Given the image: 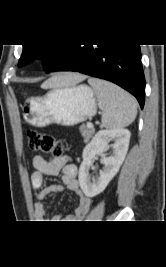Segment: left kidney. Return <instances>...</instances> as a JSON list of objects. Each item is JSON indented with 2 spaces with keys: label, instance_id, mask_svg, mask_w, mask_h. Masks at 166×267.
Returning <instances> with one entry per match:
<instances>
[{
  "label": "left kidney",
  "instance_id": "1",
  "mask_svg": "<svg viewBox=\"0 0 166 267\" xmlns=\"http://www.w3.org/2000/svg\"><path fill=\"white\" fill-rule=\"evenodd\" d=\"M130 131L123 128L100 130L83 150V162L79 169V184L87 197L100 194L117 174L128 151ZM113 139V151L110 156L103 153L108 149V141ZM96 155H103L104 165L99 177L91 180L89 169Z\"/></svg>",
  "mask_w": 166,
  "mask_h": 267
}]
</instances>
